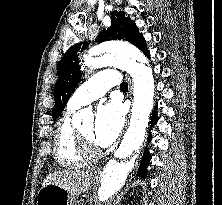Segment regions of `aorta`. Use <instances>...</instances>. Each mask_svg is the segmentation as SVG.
Instances as JSON below:
<instances>
[{
  "mask_svg": "<svg viewBox=\"0 0 222 205\" xmlns=\"http://www.w3.org/2000/svg\"><path fill=\"white\" fill-rule=\"evenodd\" d=\"M99 51L100 56H85L84 64L94 68L118 66L129 72L134 79L130 126L114 157L104 167L96 189L99 201L106 202L120 191L142 155L156 91L148 62L136 47L127 43H106ZM93 119L92 111L85 108L74 114L72 121L74 126H79L82 121Z\"/></svg>",
  "mask_w": 222,
  "mask_h": 205,
  "instance_id": "obj_1",
  "label": "aorta"
}]
</instances>
